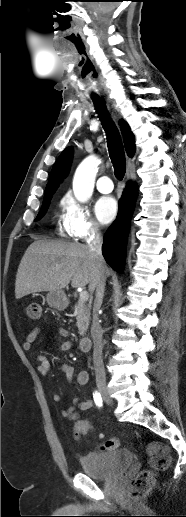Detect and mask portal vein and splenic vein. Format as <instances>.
Wrapping results in <instances>:
<instances>
[{
    "mask_svg": "<svg viewBox=\"0 0 186 517\" xmlns=\"http://www.w3.org/2000/svg\"><path fill=\"white\" fill-rule=\"evenodd\" d=\"M89 299V294L87 291H81L79 294V301L86 302Z\"/></svg>",
    "mask_w": 186,
    "mask_h": 517,
    "instance_id": "1",
    "label": "portal vein and splenic vein"
}]
</instances>
